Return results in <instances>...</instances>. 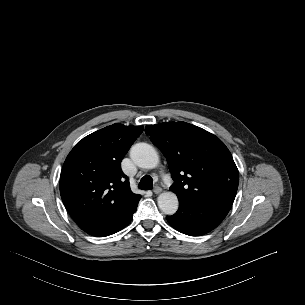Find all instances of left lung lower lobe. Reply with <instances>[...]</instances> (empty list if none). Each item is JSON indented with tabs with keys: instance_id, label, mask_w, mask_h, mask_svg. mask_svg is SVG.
<instances>
[{
	"instance_id": "1",
	"label": "left lung lower lobe",
	"mask_w": 305,
	"mask_h": 305,
	"mask_svg": "<svg viewBox=\"0 0 305 305\" xmlns=\"http://www.w3.org/2000/svg\"><path fill=\"white\" fill-rule=\"evenodd\" d=\"M231 206L228 202L192 204L180 201L178 211L166 219L179 232L200 236L216 228L226 217Z\"/></svg>"
}]
</instances>
